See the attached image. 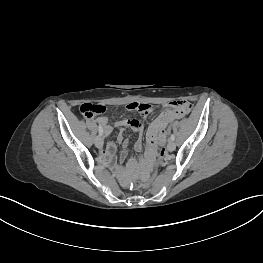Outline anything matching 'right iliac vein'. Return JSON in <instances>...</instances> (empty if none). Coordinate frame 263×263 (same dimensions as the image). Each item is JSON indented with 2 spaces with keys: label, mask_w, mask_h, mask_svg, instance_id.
<instances>
[{
  "label": "right iliac vein",
  "mask_w": 263,
  "mask_h": 263,
  "mask_svg": "<svg viewBox=\"0 0 263 263\" xmlns=\"http://www.w3.org/2000/svg\"><path fill=\"white\" fill-rule=\"evenodd\" d=\"M95 145L97 148H102L103 147V139L101 135L96 136L95 138Z\"/></svg>",
  "instance_id": "right-iliac-vein-1"
}]
</instances>
